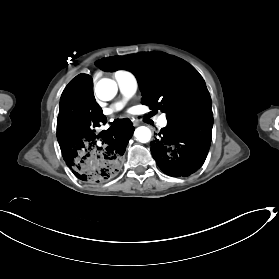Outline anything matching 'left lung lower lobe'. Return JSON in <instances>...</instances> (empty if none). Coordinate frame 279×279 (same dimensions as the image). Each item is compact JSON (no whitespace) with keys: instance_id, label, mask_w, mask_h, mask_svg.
<instances>
[{"instance_id":"0a47b994","label":"left lung lower lobe","mask_w":279,"mask_h":279,"mask_svg":"<svg viewBox=\"0 0 279 279\" xmlns=\"http://www.w3.org/2000/svg\"><path fill=\"white\" fill-rule=\"evenodd\" d=\"M213 119L191 123H168L151 142L152 156L159 168L172 177H186L197 171L208 154Z\"/></svg>"}]
</instances>
